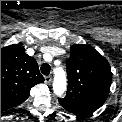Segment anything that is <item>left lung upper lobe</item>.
Here are the masks:
<instances>
[{
	"instance_id": "5c2ea615",
	"label": "left lung upper lobe",
	"mask_w": 122,
	"mask_h": 122,
	"mask_svg": "<svg viewBox=\"0 0 122 122\" xmlns=\"http://www.w3.org/2000/svg\"><path fill=\"white\" fill-rule=\"evenodd\" d=\"M70 53L67 93L58 101L67 111L84 118L106 101L112 73L108 61L89 45L75 44Z\"/></svg>"
}]
</instances>
